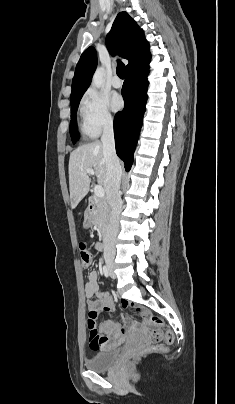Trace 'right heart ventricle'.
<instances>
[{
	"label": "right heart ventricle",
	"mask_w": 235,
	"mask_h": 404,
	"mask_svg": "<svg viewBox=\"0 0 235 404\" xmlns=\"http://www.w3.org/2000/svg\"><path fill=\"white\" fill-rule=\"evenodd\" d=\"M80 130L82 132V134L86 137H93L95 136L91 130L89 129L86 120L84 118V116L82 115V119H81V124H80Z\"/></svg>",
	"instance_id": "right-heart-ventricle-1"
}]
</instances>
